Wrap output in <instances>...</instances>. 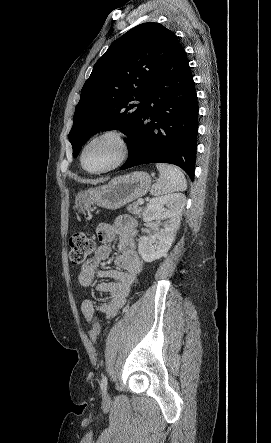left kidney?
<instances>
[{
	"mask_svg": "<svg viewBox=\"0 0 271 443\" xmlns=\"http://www.w3.org/2000/svg\"><path fill=\"white\" fill-rule=\"evenodd\" d=\"M185 202L184 194L160 196V198H154L149 202L143 212L144 222L166 220V223L164 229H160L154 235H149V237L143 235L138 239V251L144 261H155V259H160L162 255H166L175 239Z\"/></svg>",
	"mask_w": 271,
	"mask_h": 443,
	"instance_id": "left-kidney-1",
	"label": "left kidney"
}]
</instances>
